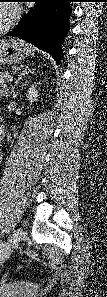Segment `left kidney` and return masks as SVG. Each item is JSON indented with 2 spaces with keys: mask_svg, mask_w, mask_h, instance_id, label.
<instances>
[{
  "mask_svg": "<svg viewBox=\"0 0 107 297\" xmlns=\"http://www.w3.org/2000/svg\"><path fill=\"white\" fill-rule=\"evenodd\" d=\"M39 84L40 83H34L28 89L27 100L30 103L37 101V98L39 97V89L37 88Z\"/></svg>",
  "mask_w": 107,
  "mask_h": 297,
  "instance_id": "left-kidney-1",
  "label": "left kidney"
}]
</instances>
